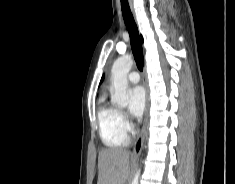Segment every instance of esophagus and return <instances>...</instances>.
I'll use <instances>...</instances> for the list:
<instances>
[{"label": "esophagus", "instance_id": "34e87169", "mask_svg": "<svg viewBox=\"0 0 235 184\" xmlns=\"http://www.w3.org/2000/svg\"><path fill=\"white\" fill-rule=\"evenodd\" d=\"M143 84L145 87V92H146V104H145V111H144V120H143V125L141 132L139 136L137 137L134 147H133V153L132 156H139L142 148H143V142L146 134V127L148 123V113H149V87H148V82H147V76H146V71L145 67L143 69V76H142Z\"/></svg>", "mask_w": 235, "mask_h": 184}]
</instances>
